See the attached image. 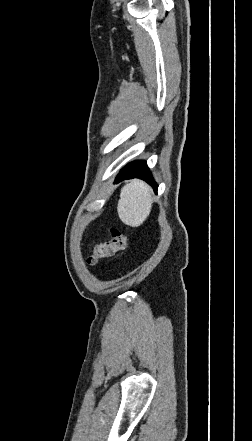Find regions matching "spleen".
<instances>
[{"label":"spleen","instance_id":"3e777b00","mask_svg":"<svg viewBox=\"0 0 252 441\" xmlns=\"http://www.w3.org/2000/svg\"><path fill=\"white\" fill-rule=\"evenodd\" d=\"M152 189L145 182L133 180L121 189L118 215L123 223L140 226L149 216L152 207Z\"/></svg>","mask_w":252,"mask_h":441}]
</instances>
